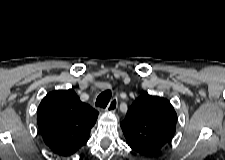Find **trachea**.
<instances>
[{"label": "trachea", "instance_id": "obj_1", "mask_svg": "<svg viewBox=\"0 0 225 160\" xmlns=\"http://www.w3.org/2000/svg\"><path fill=\"white\" fill-rule=\"evenodd\" d=\"M111 98V91L105 90L96 99V106L101 108H106Z\"/></svg>", "mask_w": 225, "mask_h": 160}]
</instances>
